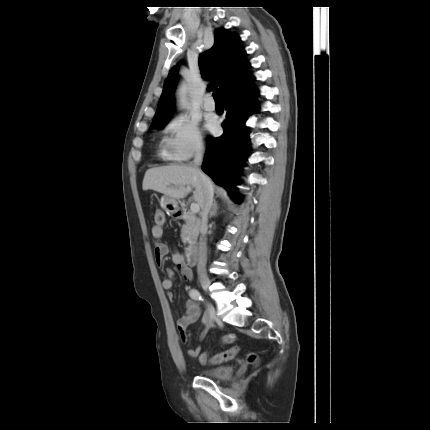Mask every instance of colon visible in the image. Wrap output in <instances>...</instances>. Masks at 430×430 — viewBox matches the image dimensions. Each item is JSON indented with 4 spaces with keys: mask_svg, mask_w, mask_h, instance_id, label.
Instances as JSON below:
<instances>
[{
    "mask_svg": "<svg viewBox=\"0 0 430 430\" xmlns=\"http://www.w3.org/2000/svg\"><path fill=\"white\" fill-rule=\"evenodd\" d=\"M164 220H165L164 213L161 210H157L154 213L155 223L159 226V225H162L164 223ZM235 339H236L235 334L228 333L222 337L221 342L223 344H231L235 341ZM236 353H237L236 347L230 348V349H228L224 352H221V353H217L211 357L208 355V353L204 352L200 355L199 360L204 365H206V364L217 365V364H221L224 361H228V360L232 359ZM250 361L252 363H254L256 361V358L253 356V357H251Z\"/></svg>",
    "mask_w": 430,
    "mask_h": 430,
    "instance_id": "obj_1",
    "label": "colon"
}]
</instances>
